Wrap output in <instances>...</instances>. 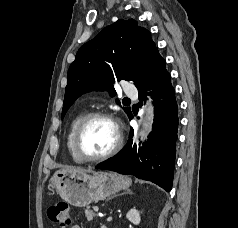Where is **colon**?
<instances>
[{"label":"colon","instance_id":"5ec220e1","mask_svg":"<svg viewBox=\"0 0 238 228\" xmlns=\"http://www.w3.org/2000/svg\"><path fill=\"white\" fill-rule=\"evenodd\" d=\"M49 220L61 227H67L72 221V211L65 202H58L47 209Z\"/></svg>","mask_w":238,"mask_h":228}]
</instances>
